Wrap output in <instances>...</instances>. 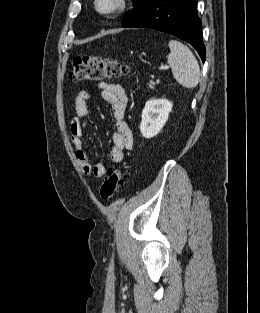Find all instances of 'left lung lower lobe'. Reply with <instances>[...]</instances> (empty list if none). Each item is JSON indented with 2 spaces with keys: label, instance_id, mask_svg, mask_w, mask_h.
<instances>
[{
  "label": "left lung lower lobe",
  "instance_id": "0a47b994",
  "mask_svg": "<svg viewBox=\"0 0 260 313\" xmlns=\"http://www.w3.org/2000/svg\"><path fill=\"white\" fill-rule=\"evenodd\" d=\"M197 0H151L123 27H146L160 30L190 43L205 61L201 20L197 15Z\"/></svg>",
  "mask_w": 260,
  "mask_h": 313
}]
</instances>
